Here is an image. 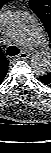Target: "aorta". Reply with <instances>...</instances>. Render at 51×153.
<instances>
[{
	"label": "aorta",
	"instance_id": "aorta-1",
	"mask_svg": "<svg viewBox=\"0 0 51 153\" xmlns=\"http://www.w3.org/2000/svg\"><path fill=\"white\" fill-rule=\"evenodd\" d=\"M9 37L24 47L38 49L31 58V68L37 75L51 71V55L45 49L48 39L42 25L29 13L17 10L11 14L6 25Z\"/></svg>",
	"mask_w": 51,
	"mask_h": 153
}]
</instances>
